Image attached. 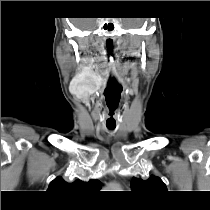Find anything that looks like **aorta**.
<instances>
[{
  "mask_svg": "<svg viewBox=\"0 0 210 210\" xmlns=\"http://www.w3.org/2000/svg\"><path fill=\"white\" fill-rule=\"evenodd\" d=\"M113 188H116V186L114 185V186H112Z\"/></svg>",
  "mask_w": 210,
  "mask_h": 210,
  "instance_id": "obj_1",
  "label": "aorta"
}]
</instances>
